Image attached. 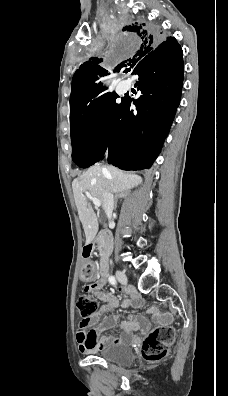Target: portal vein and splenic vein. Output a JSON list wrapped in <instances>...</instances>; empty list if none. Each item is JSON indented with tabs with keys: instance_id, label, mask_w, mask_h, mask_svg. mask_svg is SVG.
Wrapping results in <instances>:
<instances>
[{
	"instance_id": "1",
	"label": "portal vein and splenic vein",
	"mask_w": 228,
	"mask_h": 396,
	"mask_svg": "<svg viewBox=\"0 0 228 396\" xmlns=\"http://www.w3.org/2000/svg\"><path fill=\"white\" fill-rule=\"evenodd\" d=\"M85 194L93 202V204L96 207H100L101 206L100 200H98L97 198L93 197L89 192H85Z\"/></svg>"
}]
</instances>
